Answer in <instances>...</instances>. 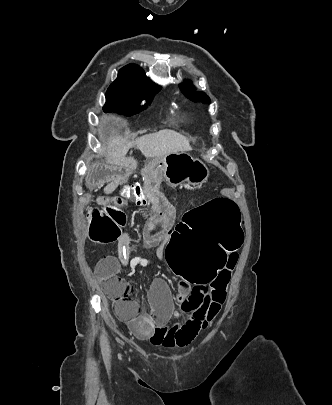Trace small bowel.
<instances>
[{
    "instance_id": "1",
    "label": "small bowel",
    "mask_w": 332,
    "mask_h": 405,
    "mask_svg": "<svg viewBox=\"0 0 332 405\" xmlns=\"http://www.w3.org/2000/svg\"><path fill=\"white\" fill-rule=\"evenodd\" d=\"M160 159H149L142 171L143 181H147L144 197L146 203H152L154 210L150 212V219L143 232L146 248L163 247L166 240H170L171 226L176 210L170 204L169 195H164L158 183H162L163 176L160 168ZM90 172L85 174V186H107L106 194L96 199L98 206H111L115 199V209H131L129 197H119L113 194V199L108 192L122 185L123 180L129 176L128 168H112L111 162H98L92 164ZM117 177L119 180H113ZM187 220V218L185 219ZM241 227V225H240ZM131 242L128 233L122 234L117 242L118 255H108L100 259L95 266V274L102 282L108 275L116 273L122 262L123 252ZM237 261V254H234ZM231 257H227L230 259ZM149 262L138 259L135 265L144 266ZM211 287H191L190 281H181L175 296H172L168 284L161 278H155L148 292V311H140L139 316L124 319L128 322L134 336L140 340L149 341L153 345L163 347H184L188 345L203 328L202 319L205 305L208 301ZM176 303L183 319L173 326L169 320L177 314ZM119 317V316H118Z\"/></svg>"
}]
</instances>
